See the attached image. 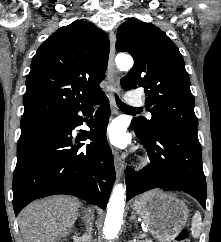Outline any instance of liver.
Here are the masks:
<instances>
[{"mask_svg": "<svg viewBox=\"0 0 221 242\" xmlns=\"http://www.w3.org/2000/svg\"><path fill=\"white\" fill-rule=\"evenodd\" d=\"M80 208V201L65 196L31 203L19 214L23 242H55L59 236H67Z\"/></svg>", "mask_w": 221, "mask_h": 242, "instance_id": "1", "label": "liver"}]
</instances>
